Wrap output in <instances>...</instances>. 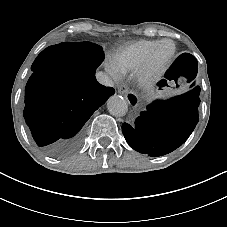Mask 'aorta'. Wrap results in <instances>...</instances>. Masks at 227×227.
I'll use <instances>...</instances> for the list:
<instances>
[{"label": "aorta", "mask_w": 227, "mask_h": 227, "mask_svg": "<svg viewBox=\"0 0 227 227\" xmlns=\"http://www.w3.org/2000/svg\"><path fill=\"white\" fill-rule=\"evenodd\" d=\"M107 109L113 116H124L128 110L126 100L119 95H113L107 100Z\"/></svg>", "instance_id": "1"}]
</instances>
